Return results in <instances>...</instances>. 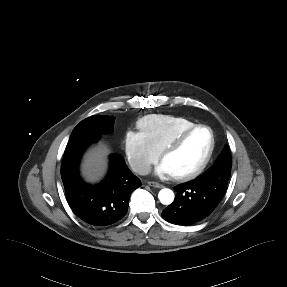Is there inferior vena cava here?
Wrapping results in <instances>:
<instances>
[{
  "mask_svg": "<svg viewBox=\"0 0 287 287\" xmlns=\"http://www.w3.org/2000/svg\"><path fill=\"white\" fill-rule=\"evenodd\" d=\"M133 171L140 175H147L151 172V166L146 163H138L132 167Z\"/></svg>",
  "mask_w": 287,
  "mask_h": 287,
  "instance_id": "1",
  "label": "inferior vena cava"
}]
</instances>
